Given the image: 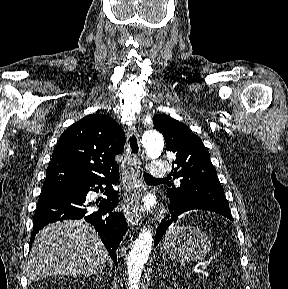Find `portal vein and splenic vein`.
<instances>
[{"label":"portal vein and splenic vein","mask_w":288,"mask_h":289,"mask_svg":"<svg viewBox=\"0 0 288 289\" xmlns=\"http://www.w3.org/2000/svg\"><path fill=\"white\" fill-rule=\"evenodd\" d=\"M208 264H209V262H205V265H204L203 268H202L203 272L206 271V266H207Z\"/></svg>","instance_id":"18ae733b"}]
</instances>
